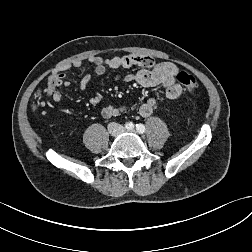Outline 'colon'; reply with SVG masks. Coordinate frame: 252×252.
I'll list each match as a JSON object with an SVG mask.
<instances>
[{"label":"colon","mask_w":252,"mask_h":252,"mask_svg":"<svg viewBox=\"0 0 252 252\" xmlns=\"http://www.w3.org/2000/svg\"><path fill=\"white\" fill-rule=\"evenodd\" d=\"M176 80L182 85L188 92H194L198 88L197 79L187 72H180L176 76Z\"/></svg>","instance_id":"5ec220e1"}]
</instances>
